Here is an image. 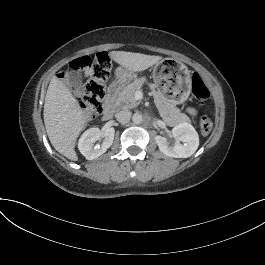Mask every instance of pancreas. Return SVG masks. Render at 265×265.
I'll use <instances>...</instances> for the list:
<instances>
[{
    "label": "pancreas",
    "instance_id": "1",
    "mask_svg": "<svg viewBox=\"0 0 265 265\" xmlns=\"http://www.w3.org/2000/svg\"><path fill=\"white\" fill-rule=\"evenodd\" d=\"M145 81V77L136 78L134 82L127 85L123 91L119 93L116 104L125 110L137 107L139 102L135 99L134 94L135 91L141 89ZM150 86L154 97V103L160 116L167 125L174 126L181 122H190L189 117L181 113L172 100L166 98L161 92L156 91L152 84Z\"/></svg>",
    "mask_w": 265,
    "mask_h": 265
}]
</instances>
